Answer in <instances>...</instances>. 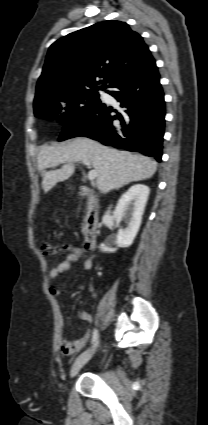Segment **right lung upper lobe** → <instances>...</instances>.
I'll return each mask as SVG.
<instances>
[{"mask_svg":"<svg viewBox=\"0 0 208 425\" xmlns=\"http://www.w3.org/2000/svg\"><path fill=\"white\" fill-rule=\"evenodd\" d=\"M148 54L143 38L122 21L107 20L70 33L50 46L34 102L50 95L106 88L120 71Z\"/></svg>","mask_w":208,"mask_h":425,"instance_id":"1","label":"right lung upper lobe"}]
</instances>
